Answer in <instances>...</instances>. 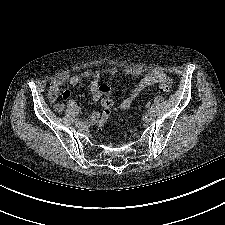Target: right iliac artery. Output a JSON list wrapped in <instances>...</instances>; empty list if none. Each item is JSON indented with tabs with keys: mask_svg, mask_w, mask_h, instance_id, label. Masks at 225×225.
Here are the masks:
<instances>
[{
	"mask_svg": "<svg viewBox=\"0 0 225 225\" xmlns=\"http://www.w3.org/2000/svg\"><path fill=\"white\" fill-rule=\"evenodd\" d=\"M75 121L77 122L78 121V118H75Z\"/></svg>",
	"mask_w": 225,
	"mask_h": 225,
	"instance_id": "82829eb1",
	"label": "right iliac artery"
}]
</instances>
